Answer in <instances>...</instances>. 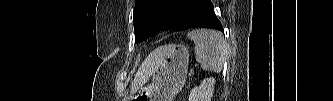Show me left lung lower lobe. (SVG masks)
<instances>
[{"instance_id": "0a47b994", "label": "left lung lower lobe", "mask_w": 333, "mask_h": 101, "mask_svg": "<svg viewBox=\"0 0 333 101\" xmlns=\"http://www.w3.org/2000/svg\"><path fill=\"white\" fill-rule=\"evenodd\" d=\"M184 16L179 20V31L189 28L205 27L224 32L217 19L210 0H179Z\"/></svg>"}]
</instances>
